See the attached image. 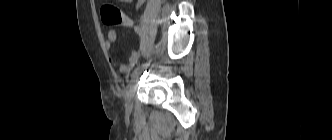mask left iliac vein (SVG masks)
Segmentation results:
<instances>
[{
  "label": "left iliac vein",
  "instance_id": "obj_1",
  "mask_svg": "<svg viewBox=\"0 0 332 140\" xmlns=\"http://www.w3.org/2000/svg\"><path fill=\"white\" fill-rule=\"evenodd\" d=\"M141 72H138L134 76H132V79L130 81V88L126 94L125 98V106L127 110H131L133 107V99L135 96V91H136V83L138 81L139 75Z\"/></svg>",
  "mask_w": 332,
  "mask_h": 140
}]
</instances>
